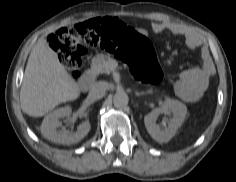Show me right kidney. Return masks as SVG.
Listing matches in <instances>:
<instances>
[{"label":"right kidney","instance_id":"1","mask_svg":"<svg viewBox=\"0 0 236 182\" xmlns=\"http://www.w3.org/2000/svg\"><path fill=\"white\" fill-rule=\"evenodd\" d=\"M71 113L72 109L70 107H62L45 116L40 127L42 135L54 143L64 145H71L81 141L85 136H87L91 129V125L88 121L81 123L77 127L76 132H71L66 129H58L61 126L59 119L69 117Z\"/></svg>","mask_w":236,"mask_h":182}]
</instances>
